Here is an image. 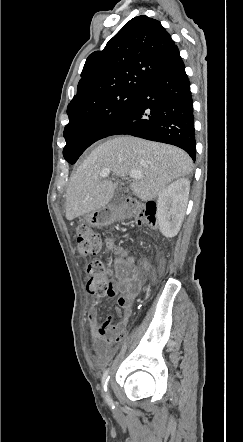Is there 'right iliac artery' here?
Here are the masks:
<instances>
[{
	"instance_id": "obj_1",
	"label": "right iliac artery",
	"mask_w": 243,
	"mask_h": 442,
	"mask_svg": "<svg viewBox=\"0 0 243 442\" xmlns=\"http://www.w3.org/2000/svg\"><path fill=\"white\" fill-rule=\"evenodd\" d=\"M109 369H107L102 377V386H103V391H104V397L105 400L107 401V403L112 407V409L115 408V405L113 403V400L111 399V397L109 396L108 392H107V387H108V381H109Z\"/></svg>"
}]
</instances>
